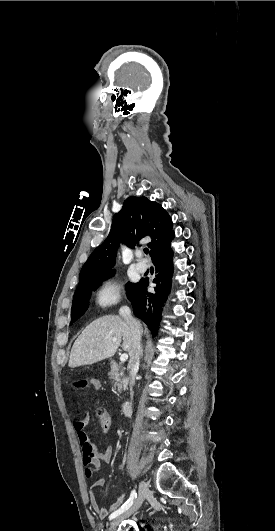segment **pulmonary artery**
I'll return each instance as SVG.
<instances>
[{
	"label": "pulmonary artery",
	"mask_w": 275,
	"mask_h": 531,
	"mask_svg": "<svg viewBox=\"0 0 275 531\" xmlns=\"http://www.w3.org/2000/svg\"><path fill=\"white\" fill-rule=\"evenodd\" d=\"M138 257L141 259L137 264H136V269L141 272V273H144L147 271L148 269V265L147 263L143 260V257L145 256V253H144V250L141 248L139 251H138Z\"/></svg>",
	"instance_id": "e3ab8cb5"
}]
</instances>
